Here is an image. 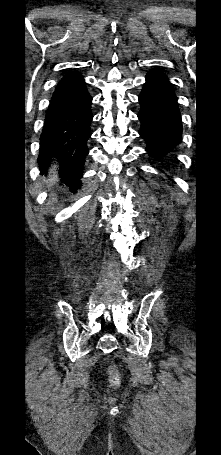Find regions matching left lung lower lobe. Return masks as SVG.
<instances>
[{
  "instance_id": "0a47b994",
  "label": "left lung lower lobe",
  "mask_w": 221,
  "mask_h": 455,
  "mask_svg": "<svg viewBox=\"0 0 221 455\" xmlns=\"http://www.w3.org/2000/svg\"><path fill=\"white\" fill-rule=\"evenodd\" d=\"M139 134L147 142L148 153L164 159L181 142L182 124L175 92L163 73L151 70L139 95Z\"/></svg>"
}]
</instances>
